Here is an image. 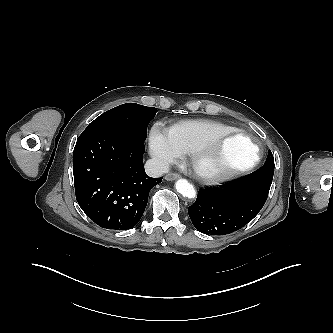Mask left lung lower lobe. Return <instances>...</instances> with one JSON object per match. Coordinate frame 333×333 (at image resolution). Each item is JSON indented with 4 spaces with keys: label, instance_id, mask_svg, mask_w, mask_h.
<instances>
[{
    "label": "left lung lower lobe",
    "instance_id": "left-lung-lower-lobe-1",
    "mask_svg": "<svg viewBox=\"0 0 333 333\" xmlns=\"http://www.w3.org/2000/svg\"><path fill=\"white\" fill-rule=\"evenodd\" d=\"M274 169L259 168L249 175L214 188L200 189L188 212L201 233L226 235L249 223L264 206Z\"/></svg>",
    "mask_w": 333,
    "mask_h": 333
}]
</instances>
